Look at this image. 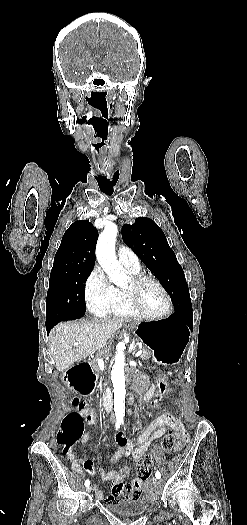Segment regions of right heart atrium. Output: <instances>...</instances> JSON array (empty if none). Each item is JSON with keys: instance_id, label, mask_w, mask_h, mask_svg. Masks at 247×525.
I'll return each instance as SVG.
<instances>
[{"instance_id": "1", "label": "right heart atrium", "mask_w": 247, "mask_h": 525, "mask_svg": "<svg viewBox=\"0 0 247 525\" xmlns=\"http://www.w3.org/2000/svg\"><path fill=\"white\" fill-rule=\"evenodd\" d=\"M116 291L99 266H94L84 284L87 309L95 316H103L114 305Z\"/></svg>"}]
</instances>
